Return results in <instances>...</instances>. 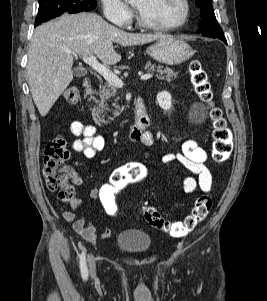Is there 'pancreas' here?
I'll use <instances>...</instances> for the list:
<instances>
[{
    "label": "pancreas",
    "instance_id": "1",
    "mask_svg": "<svg viewBox=\"0 0 267 301\" xmlns=\"http://www.w3.org/2000/svg\"><path fill=\"white\" fill-rule=\"evenodd\" d=\"M145 70H154L157 69L159 75H157L158 79L170 81L171 78L177 77L178 73L174 72L170 67H163L161 65L151 64L148 62L145 65ZM95 96H91V99L95 101L97 106L92 108V115L94 117V121L96 123L109 124L114 119V117L118 116V110L120 109L118 104L117 90L111 85L109 82H101L99 91L94 92ZM99 96V99H97ZM109 103L114 107V109L110 108ZM106 110L113 111L114 117H108V120L104 119V115L100 117V113H104L106 115Z\"/></svg>",
    "mask_w": 267,
    "mask_h": 301
}]
</instances>
